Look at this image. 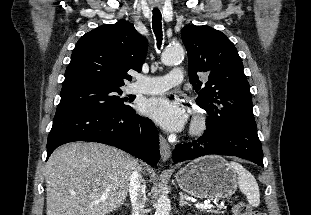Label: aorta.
<instances>
[{"label":"aorta","instance_id":"obj_1","mask_svg":"<svg viewBox=\"0 0 311 215\" xmlns=\"http://www.w3.org/2000/svg\"><path fill=\"white\" fill-rule=\"evenodd\" d=\"M184 49L180 45L168 47L162 53L161 61L165 65H173L184 58ZM171 205L168 196L163 193L158 197L155 215H170Z\"/></svg>","mask_w":311,"mask_h":215}]
</instances>
